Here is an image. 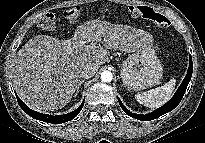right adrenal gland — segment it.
I'll list each match as a JSON object with an SVG mask.
<instances>
[{
	"instance_id": "right-adrenal-gland-1",
	"label": "right adrenal gland",
	"mask_w": 205,
	"mask_h": 143,
	"mask_svg": "<svg viewBox=\"0 0 205 143\" xmlns=\"http://www.w3.org/2000/svg\"><path fill=\"white\" fill-rule=\"evenodd\" d=\"M84 81H85V80H81V81H80L79 86H78V89H77V91H76V93H75V95H74L75 97H76L77 94L79 93V89H80V87H81V84H83Z\"/></svg>"
}]
</instances>
